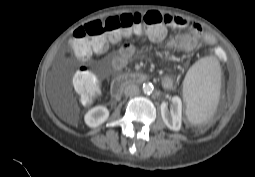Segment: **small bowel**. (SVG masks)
<instances>
[{"label": "small bowel", "mask_w": 255, "mask_h": 177, "mask_svg": "<svg viewBox=\"0 0 255 177\" xmlns=\"http://www.w3.org/2000/svg\"><path fill=\"white\" fill-rule=\"evenodd\" d=\"M164 17L167 26L189 31L188 34H178L170 38L166 43L168 49L192 51L199 43L207 45H212L214 43V38L210 34L203 33L202 28L198 23L179 16L164 15ZM165 34L166 29L161 38L154 40H162L165 37ZM134 54L135 48L133 45L128 43L123 44L112 60L113 68L117 71L125 68L133 58ZM174 85V79L171 76L166 75L163 77L162 86L164 89H172Z\"/></svg>", "instance_id": "c3829d8e"}]
</instances>
